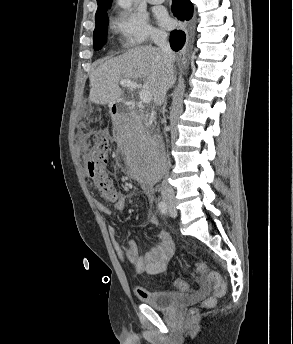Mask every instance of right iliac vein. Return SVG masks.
Returning <instances> with one entry per match:
<instances>
[{"label": "right iliac vein", "mask_w": 293, "mask_h": 344, "mask_svg": "<svg viewBox=\"0 0 293 344\" xmlns=\"http://www.w3.org/2000/svg\"><path fill=\"white\" fill-rule=\"evenodd\" d=\"M168 205H169V207H171V208H174V207H175L174 202H169Z\"/></svg>", "instance_id": "63e3f726"}]
</instances>
